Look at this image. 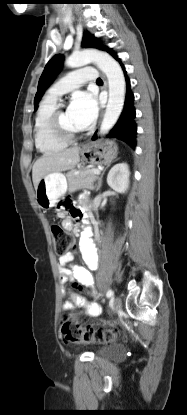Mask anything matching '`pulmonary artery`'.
Returning a JSON list of instances; mask_svg holds the SVG:
<instances>
[{"instance_id": "pulmonary-artery-1", "label": "pulmonary artery", "mask_w": 187, "mask_h": 415, "mask_svg": "<svg viewBox=\"0 0 187 415\" xmlns=\"http://www.w3.org/2000/svg\"><path fill=\"white\" fill-rule=\"evenodd\" d=\"M97 77L98 72L93 67L74 70L49 89L47 98L57 100L63 94L80 87L85 82H95Z\"/></svg>"}]
</instances>
